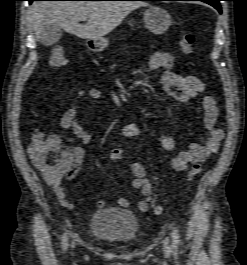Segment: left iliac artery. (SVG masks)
Segmentation results:
<instances>
[{
    "label": "left iliac artery",
    "mask_w": 247,
    "mask_h": 265,
    "mask_svg": "<svg viewBox=\"0 0 247 265\" xmlns=\"http://www.w3.org/2000/svg\"><path fill=\"white\" fill-rule=\"evenodd\" d=\"M179 232L176 228H173V231H172V249H173V252L174 254H177V251H178V245H179V242H180V239H179Z\"/></svg>",
    "instance_id": "obj_1"
}]
</instances>
